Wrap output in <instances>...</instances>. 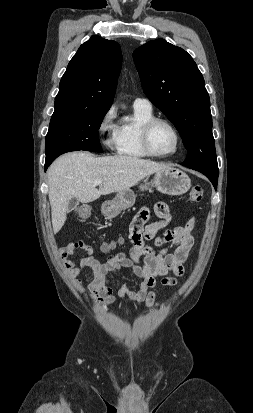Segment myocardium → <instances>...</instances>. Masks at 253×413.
<instances>
[{"label":"myocardium","mask_w":253,"mask_h":413,"mask_svg":"<svg viewBox=\"0 0 253 413\" xmlns=\"http://www.w3.org/2000/svg\"><path fill=\"white\" fill-rule=\"evenodd\" d=\"M160 123L167 125L173 131L175 135V139H176L174 150L167 154H160V153L155 152L151 145V132L153 128L157 124H160ZM140 140H141V145L144 151L149 156L156 157V158L172 157L179 151L181 147V135L179 133V130L170 120L166 118H162V117H152L151 119L147 120L146 122L142 124L141 129H140Z\"/></svg>","instance_id":"myocardium-1"}]
</instances>
